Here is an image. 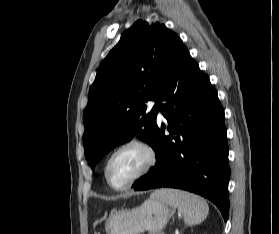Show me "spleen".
<instances>
[{
	"label": "spleen",
	"instance_id": "spleen-1",
	"mask_svg": "<svg viewBox=\"0 0 279 234\" xmlns=\"http://www.w3.org/2000/svg\"><path fill=\"white\" fill-rule=\"evenodd\" d=\"M151 197L182 211L184 221L189 226L202 223L209 213V206L203 198L186 191L160 189Z\"/></svg>",
	"mask_w": 279,
	"mask_h": 234
}]
</instances>
